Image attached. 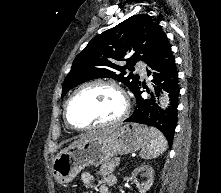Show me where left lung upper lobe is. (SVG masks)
Masks as SVG:
<instances>
[{"mask_svg":"<svg viewBox=\"0 0 221 193\" xmlns=\"http://www.w3.org/2000/svg\"><path fill=\"white\" fill-rule=\"evenodd\" d=\"M167 41L166 34L148 14L131 16L117 26L95 36L74 59L70 73L62 86V97L73 87L96 78H113L133 92L139 84L134 70L138 61H147ZM125 56L129 58L124 59ZM127 61L122 65L121 61Z\"/></svg>","mask_w":221,"mask_h":193,"instance_id":"left-lung-upper-lobe-1","label":"left lung upper lobe"}]
</instances>
